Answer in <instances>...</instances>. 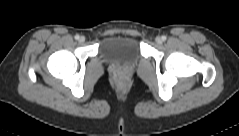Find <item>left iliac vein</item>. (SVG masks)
Returning <instances> with one entry per match:
<instances>
[{
    "instance_id": "left-iliac-vein-1",
    "label": "left iliac vein",
    "mask_w": 239,
    "mask_h": 136,
    "mask_svg": "<svg viewBox=\"0 0 239 136\" xmlns=\"http://www.w3.org/2000/svg\"><path fill=\"white\" fill-rule=\"evenodd\" d=\"M155 41L157 44H161L162 43V38L161 37H156Z\"/></svg>"
}]
</instances>
